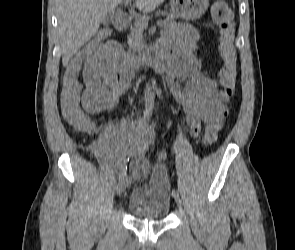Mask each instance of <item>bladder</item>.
I'll return each mask as SVG.
<instances>
[{
	"label": "bladder",
	"mask_w": 295,
	"mask_h": 250,
	"mask_svg": "<svg viewBox=\"0 0 295 250\" xmlns=\"http://www.w3.org/2000/svg\"><path fill=\"white\" fill-rule=\"evenodd\" d=\"M170 204V183L163 167L158 166L146 181L131 190L127 210L139 219L160 220L168 214Z\"/></svg>",
	"instance_id": "31cf9c89"
}]
</instances>
